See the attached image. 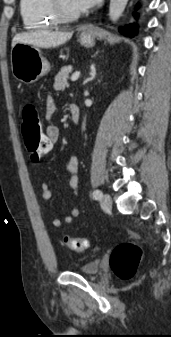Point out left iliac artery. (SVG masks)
Returning a JSON list of instances; mask_svg holds the SVG:
<instances>
[{
	"label": "left iliac artery",
	"instance_id": "44dca946",
	"mask_svg": "<svg viewBox=\"0 0 171 337\" xmlns=\"http://www.w3.org/2000/svg\"><path fill=\"white\" fill-rule=\"evenodd\" d=\"M102 196H103L102 192L98 189L93 192V198L95 200H100Z\"/></svg>",
	"mask_w": 171,
	"mask_h": 337
}]
</instances>
